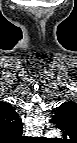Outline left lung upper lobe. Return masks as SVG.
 <instances>
[{"instance_id": "obj_1", "label": "left lung upper lobe", "mask_w": 77, "mask_h": 143, "mask_svg": "<svg viewBox=\"0 0 77 143\" xmlns=\"http://www.w3.org/2000/svg\"><path fill=\"white\" fill-rule=\"evenodd\" d=\"M68 124V123H67ZM63 125V126H61V127H58L59 129H61V131L63 132V135L64 136H67V138H68V136L70 135L69 134V132H70V129H71V126L70 125Z\"/></svg>"}]
</instances>
